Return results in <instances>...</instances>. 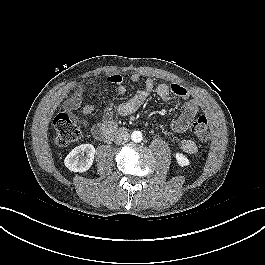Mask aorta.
Returning <instances> with one entry per match:
<instances>
[{
    "mask_svg": "<svg viewBox=\"0 0 265 265\" xmlns=\"http://www.w3.org/2000/svg\"><path fill=\"white\" fill-rule=\"evenodd\" d=\"M142 138V133L140 131H133L131 134V140L133 142H141Z\"/></svg>",
    "mask_w": 265,
    "mask_h": 265,
    "instance_id": "aorta-1",
    "label": "aorta"
}]
</instances>
